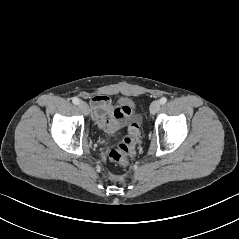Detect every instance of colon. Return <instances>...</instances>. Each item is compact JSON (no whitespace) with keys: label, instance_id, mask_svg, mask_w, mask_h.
Here are the masks:
<instances>
[{"label":"colon","instance_id":"1","mask_svg":"<svg viewBox=\"0 0 239 239\" xmlns=\"http://www.w3.org/2000/svg\"><path fill=\"white\" fill-rule=\"evenodd\" d=\"M128 137L123 138L118 144H116L109 153L111 161L126 165L129 162L131 155V148L134 139L139 134V127L137 124H132L128 128Z\"/></svg>","mask_w":239,"mask_h":239}]
</instances>
